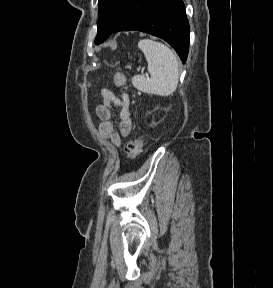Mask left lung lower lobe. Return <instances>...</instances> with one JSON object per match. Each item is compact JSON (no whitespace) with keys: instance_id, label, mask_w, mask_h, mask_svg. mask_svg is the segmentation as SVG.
<instances>
[{"instance_id":"obj_1","label":"left lung lower lobe","mask_w":273,"mask_h":288,"mask_svg":"<svg viewBox=\"0 0 273 288\" xmlns=\"http://www.w3.org/2000/svg\"><path fill=\"white\" fill-rule=\"evenodd\" d=\"M135 30L164 39L185 63L190 29L183 0H133L115 32Z\"/></svg>"}]
</instances>
